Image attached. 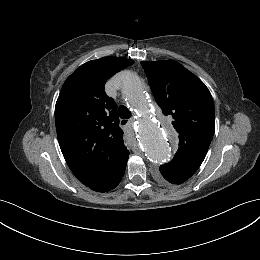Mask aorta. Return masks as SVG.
I'll return each mask as SVG.
<instances>
[{
	"mask_svg": "<svg viewBox=\"0 0 260 260\" xmlns=\"http://www.w3.org/2000/svg\"><path fill=\"white\" fill-rule=\"evenodd\" d=\"M121 93L138 115L137 138L147 159L154 164L170 160L176 143L173 129L149 113L150 104L143 81L132 72L121 78Z\"/></svg>",
	"mask_w": 260,
	"mask_h": 260,
	"instance_id": "762f6f07",
	"label": "aorta"
}]
</instances>
